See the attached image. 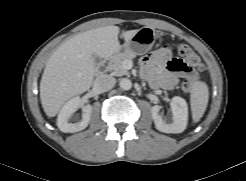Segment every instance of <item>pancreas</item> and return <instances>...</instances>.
Masks as SVG:
<instances>
[{
  "label": "pancreas",
  "instance_id": "1",
  "mask_svg": "<svg viewBox=\"0 0 246 181\" xmlns=\"http://www.w3.org/2000/svg\"><path fill=\"white\" fill-rule=\"evenodd\" d=\"M135 54L131 52H123L115 55L108 65V70L115 76L127 75L128 70L125 68V61H131Z\"/></svg>",
  "mask_w": 246,
  "mask_h": 181
}]
</instances>
